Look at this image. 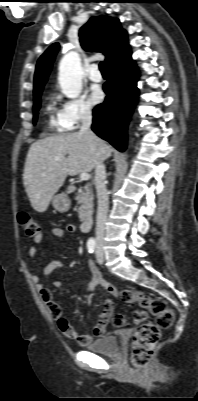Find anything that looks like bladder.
Here are the masks:
<instances>
[{
    "label": "bladder",
    "instance_id": "31cf9c89",
    "mask_svg": "<svg viewBox=\"0 0 198 401\" xmlns=\"http://www.w3.org/2000/svg\"><path fill=\"white\" fill-rule=\"evenodd\" d=\"M87 348L94 353L115 356L120 351V344L116 334H106L90 343Z\"/></svg>",
    "mask_w": 198,
    "mask_h": 401
}]
</instances>
